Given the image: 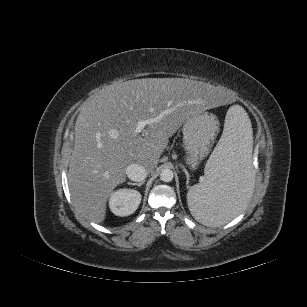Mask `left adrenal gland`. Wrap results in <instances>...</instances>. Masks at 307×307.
<instances>
[{"instance_id": "a2214340", "label": "left adrenal gland", "mask_w": 307, "mask_h": 307, "mask_svg": "<svg viewBox=\"0 0 307 307\" xmlns=\"http://www.w3.org/2000/svg\"><path fill=\"white\" fill-rule=\"evenodd\" d=\"M184 172H185V174H186V177H187V184H188V183H189V179H190L189 173H188L187 170H185V169H184Z\"/></svg>"}]
</instances>
